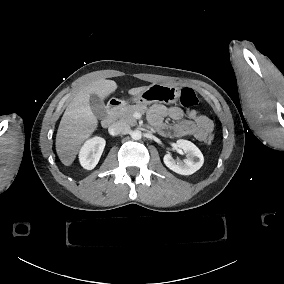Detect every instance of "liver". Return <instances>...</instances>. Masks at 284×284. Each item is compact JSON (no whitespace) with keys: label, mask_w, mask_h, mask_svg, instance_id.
<instances>
[{"label":"liver","mask_w":284,"mask_h":284,"mask_svg":"<svg viewBox=\"0 0 284 284\" xmlns=\"http://www.w3.org/2000/svg\"><path fill=\"white\" fill-rule=\"evenodd\" d=\"M149 86L128 90L131 96L141 95ZM118 85L113 80L98 79L80 87L67 106L57 129L55 148L57 156L65 167L74 163L82 145L98 129L99 121L90 106L91 96L105 101L116 92Z\"/></svg>","instance_id":"liver-1"}]
</instances>
